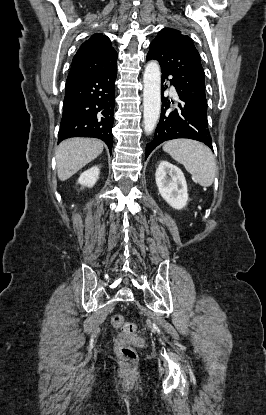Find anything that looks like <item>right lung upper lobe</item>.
<instances>
[{
	"label": "right lung upper lobe",
	"instance_id": "cb5924a9",
	"mask_svg": "<svg viewBox=\"0 0 266 415\" xmlns=\"http://www.w3.org/2000/svg\"><path fill=\"white\" fill-rule=\"evenodd\" d=\"M116 60L117 52L110 39L100 33L93 34L74 56L66 82L107 72L116 66Z\"/></svg>",
	"mask_w": 266,
	"mask_h": 415
}]
</instances>
